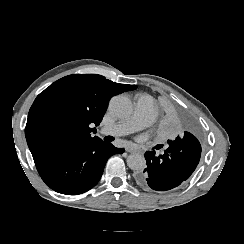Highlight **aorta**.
<instances>
[{"label":"aorta","instance_id":"aorta-1","mask_svg":"<svg viewBox=\"0 0 244 244\" xmlns=\"http://www.w3.org/2000/svg\"><path fill=\"white\" fill-rule=\"evenodd\" d=\"M108 108L110 113L117 118L129 117L133 110L131 100L122 94L112 97ZM127 165L132 170L141 171L145 168L146 161L143 155L133 153L127 157Z\"/></svg>","mask_w":244,"mask_h":244}]
</instances>
